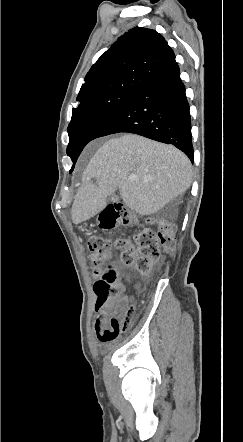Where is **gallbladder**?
<instances>
[{"mask_svg":"<svg viewBox=\"0 0 243 442\" xmlns=\"http://www.w3.org/2000/svg\"><path fill=\"white\" fill-rule=\"evenodd\" d=\"M110 200H117V201H119L120 200V195L118 193H111L109 195V201Z\"/></svg>","mask_w":243,"mask_h":442,"instance_id":"gallbladder-1","label":"gallbladder"}]
</instances>
